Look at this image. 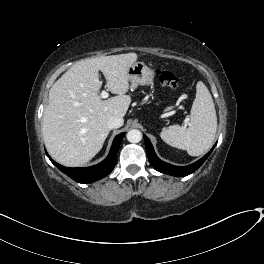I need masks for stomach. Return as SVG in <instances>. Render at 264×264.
Masks as SVG:
<instances>
[{
    "instance_id": "obj_1",
    "label": "stomach",
    "mask_w": 264,
    "mask_h": 264,
    "mask_svg": "<svg viewBox=\"0 0 264 264\" xmlns=\"http://www.w3.org/2000/svg\"><path fill=\"white\" fill-rule=\"evenodd\" d=\"M128 78L133 86L152 85L154 71L143 62H136L129 67Z\"/></svg>"
}]
</instances>
